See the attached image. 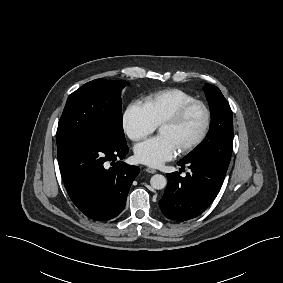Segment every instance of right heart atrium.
<instances>
[{"mask_svg": "<svg viewBox=\"0 0 283 283\" xmlns=\"http://www.w3.org/2000/svg\"><path fill=\"white\" fill-rule=\"evenodd\" d=\"M156 126L144 103L133 100L127 105L122 116V127L132 141L148 136L156 129Z\"/></svg>", "mask_w": 283, "mask_h": 283, "instance_id": "1", "label": "right heart atrium"}]
</instances>
